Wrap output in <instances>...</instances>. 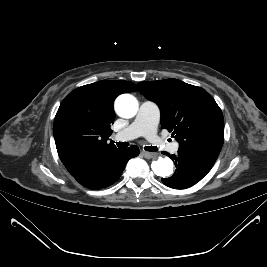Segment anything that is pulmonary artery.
<instances>
[{"instance_id":"pulmonary-artery-1","label":"pulmonary artery","mask_w":267,"mask_h":267,"mask_svg":"<svg viewBox=\"0 0 267 267\" xmlns=\"http://www.w3.org/2000/svg\"><path fill=\"white\" fill-rule=\"evenodd\" d=\"M160 120L159 107L151 102L144 101L138 110L133 122L124 130L115 134V139L119 141L135 139L139 136L146 137L153 145L166 148L168 151L175 153L178 151L177 142L166 143L157 135V126Z\"/></svg>"}]
</instances>
